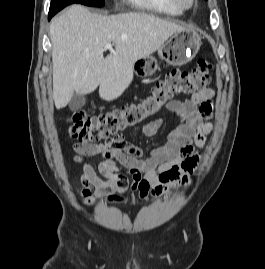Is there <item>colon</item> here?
<instances>
[{
	"label": "colon",
	"mask_w": 265,
	"mask_h": 269,
	"mask_svg": "<svg viewBox=\"0 0 265 269\" xmlns=\"http://www.w3.org/2000/svg\"><path fill=\"white\" fill-rule=\"evenodd\" d=\"M211 69L210 61L200 58L196 67L190 71L169 72L139 103L94 116L75 112L68 120L70 134L82 143L116 138L123 131L137 127L160 113L177 95H192L207 88L211 80ZM159 190L160 188L155 192Z\"/></svg>",
	"instance_id": "1"
}]
</instances>
